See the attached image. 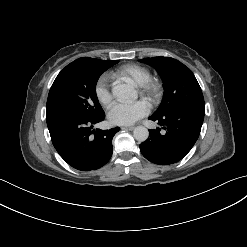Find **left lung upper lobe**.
<instances>
[{
    "label": "left lung upper lobe",
    "mask_w": 247,
    "mask_h": 247,
    "mask_svg": "<svg viewBox=\"0 0 247 247\" xmlns=\"http://www.w3.org/2000/svg\"><path fill=\"white\" fill-rule=\"evenodd\" d=\"M141 61L153 66L164 82L162 102L152 116L161 117L184 108L205 109L201 88L188 67L170 57H152Z\"/></svg>",
    "instance_id": "5c2ea615"
}]
</instances>
